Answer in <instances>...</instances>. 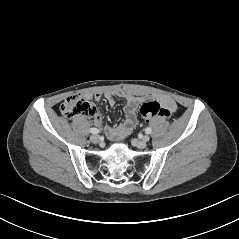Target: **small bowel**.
<instances>
[{"label": "small bowel", "instance_id": "small-bowel-1", "mask_svg": "<svg viewBox=\"0 0 239 239\" xmlns=\"http://www.w3.org/2000/svg\"><path fill=\"white\" fill-rule=\"evenodd\" d=\"M89 98H94L96 101H100L102 98L106 100L109 106L113 107L115 105V96L122 98L125 101L124 112H125V121L124 123L115 126V127H106L105 133L108 139L113 141H118L126 138L136 127L137 125V107L138 105L144 101L143 97L134 96L129 93H125L122 91L112 93H95L93 95H87ZM160 101L163 106L169 112H175L177 109V105L175 101L167 96L160 97ZM93 121L96 126H101L103 119L102 116L96 113L93 116Z\"/></svg>", "mask_w": 239, "mask_h": 239}]
</instances>
